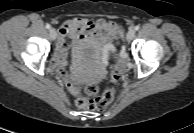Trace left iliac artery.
I'll return each instance as SVG.
<instances>
[{
	"mask_svg": "<svg viewBox=\"0 0 194 133\" xmlns=\"http://www.w3.org/2000/svg\"><path fill=\"white\" fill-rule=\"evenodd\" d=\"M139 29H140V26L139 25L135 26V30L136 31L139 30Z\"/></svg>",
	"mask_w": 194,
	"mask_h": 133,
	"instance_id": "44dca946",
	"label": "left iliac artery"
}]
</instances>
